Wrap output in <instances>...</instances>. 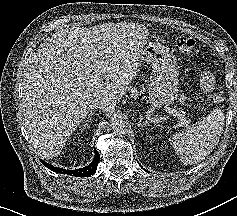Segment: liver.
Instances as JSON below:
<instances>
[{"label":"liver","instance_id":"1","mask_svg":"<svg viewBox=\"0 0 237 216\" xmlns=\"http://www.w3.org/2000/svg\"><path fill=\"white\" fill-rule=\"evenodd\" d=\"M110 29L72 26L40 45L21 80L20 103L25 129L39 150L57 151L94 99L117 104L136 76V68L121 61L116 39L107 37Z\"/></svg>","mask_w":237,"mask_h":216}]
</instances>
